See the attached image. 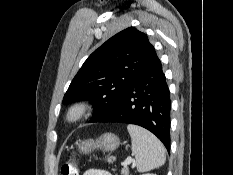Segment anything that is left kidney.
<instances>
[{
  "label": "left kidney",
  "instance_id": "obj_1",
  "mask_svg": "<svg viewBox=\"0 0 233 175\" xmlns=\"http://www.w3.org/2000/svg\"><path fill=\"white\" fill-rule=\"evenodd\" d=\"M144 175H156V174H150V173H148V174H144Z\"/></svg>",
  "mask_w": 233,
  "mask_h": 175
}]
</instances>
